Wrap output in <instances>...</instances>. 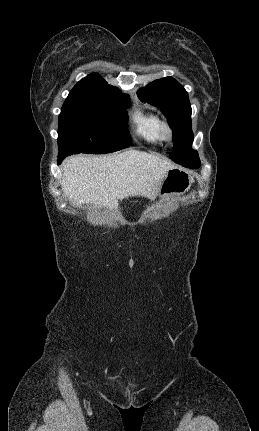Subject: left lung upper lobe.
I'll return each mask as SVG.
<instances>
[{
    "label": "left lung upper lobe",
    "instance_id": "obj_1",
    "mask_svg": "<svg viewBox=\"0 0 259 431\" xmlns=\"http://www.w3.org/2000/svg\"><path fill=\"white\" fill-rule=\"evenodd\" d=\"M138 96L159 107L167 117L173 129L174 146L170 158L176 163L189 168L200 165L197 151L191 148L193 133L191 130V105L184 87L174 78L165 77L155 80L139 89Z\"/></svg>",
    "mask_w": 259,
    "mask_h": 431
}]
</instances>
